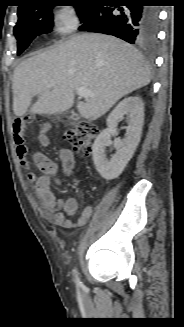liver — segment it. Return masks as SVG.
Returning a JSON list of instances; mask_svg holds the SVG:
<instances>
[{
	"label": "liver",
	"mask_w": 184,
	"mask_h": 327,
	"mask_svg": "<svg viewBox=\"0 0 184 327\" xmlns=\"http://www.w3.org/2000/svg\"><path fill=\"white\" fill-rule=\"evenodd\" d=\"M151 81V70L132 45L103 34H77L53 49L22 61L13 74V112L21 117L55 115L70 109L75 92L93 95L77 103L80 115L96 120L119 99Z\"/></svg>",
	"instance_id": "liver-1"
}]
</instances>
